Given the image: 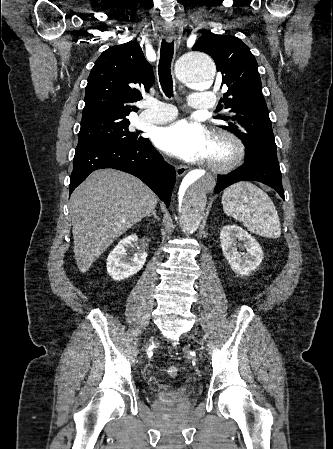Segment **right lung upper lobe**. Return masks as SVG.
I'll return each instance as SVG.
<instances>
[{
  "mask_svg": "<svg viewBox=\"0 0 333 449\" xmlns=\"http://www.w3.org/2000/svg\"><path fill=\"white\" fill-rule=\"evenodd\" d=\"M153 83L152 66L135 41L113 46L96 60L88 77L81 127L128 120L132 106Z\"/></svg>",
  "mask_w": 333,
  "mask_h": 449,
  "instance_id": "cb5924a9",
  "label": "right lung upper lobe"
}]
</instances>
